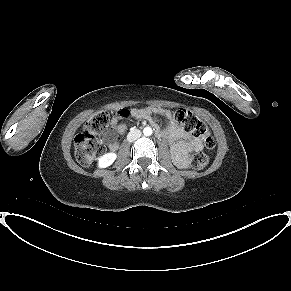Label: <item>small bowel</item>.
<instances>
[{"label":"small bowel","instance_id":"1","mask_svg":"<svg viewBox=\"0 0 291 291\" xmlns=\"http://www.w3.org/2000/svg\"><path fill=\"white\" fill-rule=\"evenodd\" d=\"M153 114H158L165 118L166 124L163 128L157 129V134L159 137L168 140L172 153L177 161H180L187 153L195 152L202 148L201 140L190 136L180 128L171 111L150 106L134 109L131 112V115L137 119L147 118ZM126 129V125L120 122L118 111L115 112L111 119V129L105 135V140L111 150L117 149L118 138L125 133Z\"/></svg>","mask_w":291,"mask_h":291}]
</instances>
